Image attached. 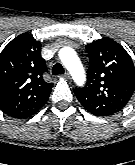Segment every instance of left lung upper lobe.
Listing matches in <instances>:
<instances>
[{"mask_svg":"<svg viewBox=\"0 0 135 165\" xmlns=\"http://www.w3.org/2000/svg\"><path fill=\"white\" fill-rule=\"evenodd\" d=\"M90 59L87 83L74 92L91 113L109 116L120 111L135 89V68L127 51L104 37L86 45Z\"/></svg>","mask_w":135,"mask_h":165,"instance_id":"5c2ea615","label":"left lung upper lobe"}]
</instances>
